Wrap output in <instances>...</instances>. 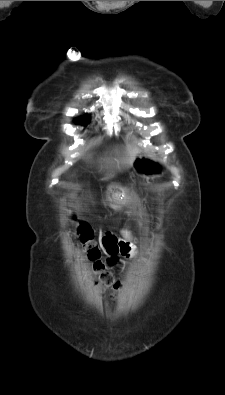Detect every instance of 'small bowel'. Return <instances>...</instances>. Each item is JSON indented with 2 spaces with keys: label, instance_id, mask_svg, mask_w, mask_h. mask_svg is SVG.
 Segmentation results:
<instances>
[{
  "label": "small bowel",
  "instance_id": "small-bowel-1",
  "mask_svg": "<svg viewBox=\"0 0 225 395\" xmlns=\"http://www.w3.org/2000/svg\"><path fill=\"white\" fill-rule=\"evenodd\" d=\"M103 248L108 256V264L113 265L118 258H129L134 255V248L130 241L120 240L116 236L107 234L102 240Z\"/></svg>",
  "mask_w": 225,
  "mask_h": 395
}]
</instances>
